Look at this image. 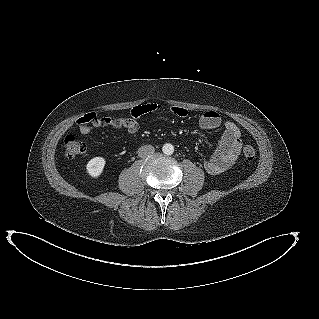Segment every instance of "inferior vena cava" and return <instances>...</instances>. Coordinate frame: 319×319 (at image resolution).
Wrapping results in <instances>:
<instances>
[{
	"label": "inferior vena cava",
	"instance_id": "obj_1",
	"mask_svg": "<svg viewBox=\"0 0 319 319\" xmlns=\"http://www.w3.org/2000/svg\"><path fill=\"white\" fill-rule=\"evenodd\" d=\"M155 152V148L152 145H143L138 149V155L141 158H145Z\"/></svg>",
	"mask_w": 319,
	"mask_h": 319
}]
</instances>
